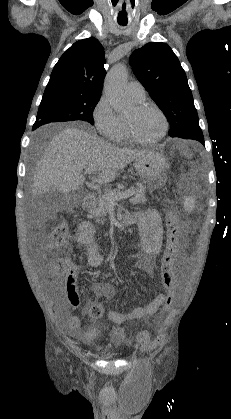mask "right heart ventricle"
<instances>
[{"label": "right heart ventricle", "instance_id": "obj_1", "mask_svg": "<svg viewBox=\"0 0 231 419\" xmlns=\"http://www.w3.org/2000/svg\"><path fill=\"white\" fill-rule=\"evenodd\" d=\"M134 99V98H133ZM135 101H137V102H140L141 100H137V99H134ZM122 119V121H123V123H124V125H125V134H126V124H125V120L123 119V118H121ZM125 134H124V136H125ZM123 136V137H124Z\"/></svg>", "mask_w": 231, "mask_h": 419}]
</instances>
